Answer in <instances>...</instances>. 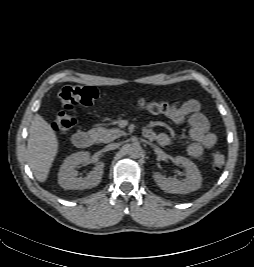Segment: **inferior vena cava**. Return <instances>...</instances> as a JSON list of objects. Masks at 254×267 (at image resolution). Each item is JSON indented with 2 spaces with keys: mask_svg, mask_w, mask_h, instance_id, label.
Wrapping results in <instances>:
<instances>
[{
  "mask_svg": "<svg viewBox=\"0 0 254 267\" xmlns=\"http://www.w3.org/2000/svg\"><path fill=\"white\" fill-rule=\"evenodd\" d=\"M118 147V144H116V143H112V144H109V145H107L106 146V150H114V149H116Z\"/></svg>",
  "mask_w": 254,
  "mask_h": 267,
  "instance_id": "inferior-vena-cava-1",
  "label": "inferior vena cava"
}]
</instances>
